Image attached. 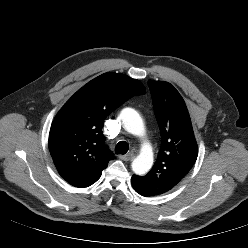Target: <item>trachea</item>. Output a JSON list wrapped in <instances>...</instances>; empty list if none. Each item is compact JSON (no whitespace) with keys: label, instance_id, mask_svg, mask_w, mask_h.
Masks as SVG:
<instances>
[{"label":"trachea","instance_id":"3493384b","mask_svg":"<svg viewBox=\"0 0 248 248\" xmlns=\"http://www.w3.org/2000/svg\"><path fill=\"white\" fill-rule=\"evenodd\" d=\"M128 150H129V145L126 141L118 142L115 148L116 154H122V155L126 154Z\"/></svg>","mask_w":248,"mask_h":248}]
</instances>
